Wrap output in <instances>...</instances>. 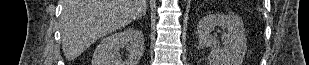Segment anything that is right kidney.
<instances>
[{"label":"right kidney","instance_id":"ca27d5eb","mask_svg":"<svg viewBox=\"0 0 309 65\" xmlns=\"http://www.w3.org/2000/svg\"><path fill=\"white\" fill-rule=\"evenodd\" d=\"M124 46L129 54L123 61L118 51ZM143 52V33L135 28L124 29L101 40L93 54L92 65H137Z\"/></svg>","mask_w":309,"mask_h":65}]
</instances>
